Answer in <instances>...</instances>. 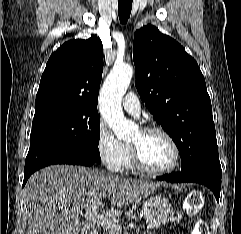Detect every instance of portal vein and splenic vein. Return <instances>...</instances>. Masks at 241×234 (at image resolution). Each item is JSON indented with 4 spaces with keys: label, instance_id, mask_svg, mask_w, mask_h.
Instances as JSON below:
<instances>
[{
    "label": "portal vein and splenic vein",
    "instance_id": "18ae733b",
    "mask_svg": "<svg viewBox=\"0 0 241 234\" xmlns=\"http://www.w3.org/2000/svg\"><path fill=\"white\" fill-rule=\"evenodd\" d=\"M100 205L101 203L98 202L96 205L92 207V209L96 211ZM85 219L90 220L106 229H110V230L121 229L119 225H117L115 222H113L112 220H110L109 218L105 217L103 214H100V213H96V212L91 213L86 211Z\"/></svg>",
    "mask_w": 241,
    "mask_h": 234
}]
</instances>
